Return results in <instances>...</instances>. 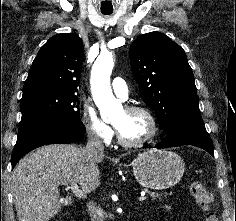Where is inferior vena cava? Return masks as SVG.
<instances>
[{
  "label": "inferior vena cava",
  "instance_id": "obj_1",
  "mask_svg": "<svg viewBox=\"0 0 236 221\" xmlns=\"http://www.w3.org/2000/svg\"><path fill=\"white\" fill-rule=\"evenodd\" d=\"M85 150L87 154L92 157L103 156L104 145L95 131H90L88 133V142ZM87 210L91 221H104L101 208H99V206H97L93 201L87 203Z\"/></svg>",
  "mask_w": 236,
  "mask_h": 221
}]
</instances>
